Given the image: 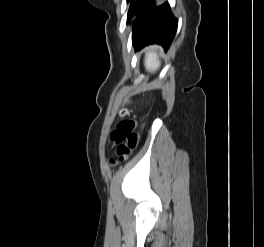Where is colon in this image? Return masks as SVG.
<instances>
[{
  "instance_id": "obj_1",
  "label": "colon",
  "mask_w": 264,
  "mask_h": 247,
  "mask_svg": "<svg viewBox=\"0 0 264 247\" xmlns=\"http://www.w3.org/2000/svg\"><path fill=\"white\" fill-rule=\"evenodd\" d=\"M136 127V121L124 120L110 133V140L116 146L120 160H126L138 144L139 135L136 132ZM110 163L114 165L116 161L112 159Z\"/></svg>"
}]
</instances>
